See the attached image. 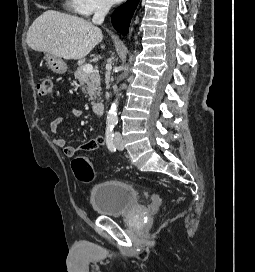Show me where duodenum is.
Returning <instances> with one entry per match:
<instances>
[{
  "instance_id": "duodenum-1",
  "label": "duodenum",
  "mask_w": 255,
  "mask_h": 272,
  "mask_svg": "<svg viewBox=\"0 0 255 272\" xmlns=\"http://www.w3.org/2000/svg\"><path fill=\"white\" fill-rule=\"evenodd\" d=\"M104 106H105V104L103 101H101V100L96 101L92 106L93 112L98 115L102 114L104 111Z\"/></svg>"
}]
</instances>
